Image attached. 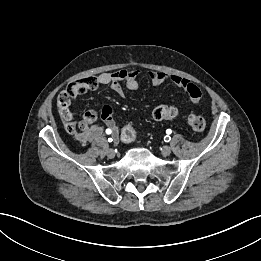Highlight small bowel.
<instances>
[{"label":"small bowel","instance_id":"obj_1","mask_svg":"<svg viewBox=\"0 0 261 261\" xmlns=\"http://www.w3.org/2000/svg\"><path fill=\"white\" fill-rule=\"evenodd\" d=\"M138 74V70L125 69L111 73H102L97 77L92 78L93 85L88 87L85 91L96 89L99 86L110 85L116 93L122 94V83H124L128 89L136 90L139 86L137 80ZM149 77L154 85L169 81L182 88L188 94L190 101L193 104L198 103L201 97L200 89L193 82L178 75L152 71L149 73ZM101 118L104 121L105 127L101 125H91L94 120L90 119L89 112L86 113L83 119V121L86 122V126L81 131H74V137L81 143H87L99 138L107 129H110L111 132L115 134L117 126L113 118L112 110L109 107H104L101 110Z\"/></svg>","mask_w":261,"mask_h":261}]
</instances>
